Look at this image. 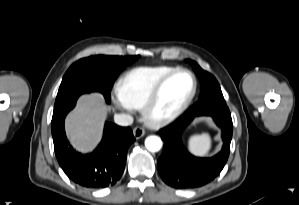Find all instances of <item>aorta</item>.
<instances>
[{"mask_svg": "<svg viewBox=\"0 0 299 205\" xmlns=\"http://www.w3.org/2000/svg\"><path fill=\"white\" fill-rule=\"evenodd\" d=\"M146 148L151 152H157L162 147V140L158 136H149L145 140Z\"/></svg>", "mask_w": 299, "mask_h": 205, "instance_id": "762f6f07", "label": "aorta"}]
</instances>
